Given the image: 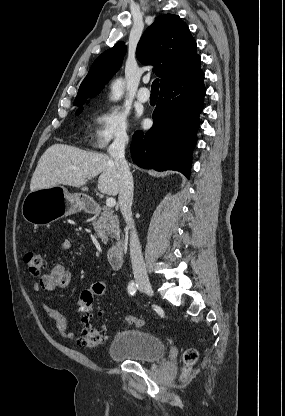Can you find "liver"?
I'll list each match as a JSON object with an SVG mask.
<instances>
[{
	"mask_svg": "<svg viewBox=\"0 0 285 416\" xmlns=\"http://www.w3.org/2000/svg\"><path fill=\"white\" fill-rule=\"evenodd\" d=\"M100 174V176H99ZM98 178L101 194L117 196L121 186V174L106 154L85 152L74 146L54 144L42 154L31 178L30 190H43L53 186L82 188L87 180ZM86 192L85 188H82Z\"/></svg>",
	"mask_w": 285,
	"mask_h": 416,
	"instance_id": "obj_1",
	"label": "liver"
}]
</instances>
